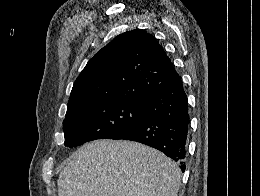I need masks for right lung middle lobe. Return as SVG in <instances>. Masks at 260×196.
I'll return each mask as SVG.
<instances>
[{
  "instance_id": "1",
  "label": "right lung middle lobe",
  "mask_w": 260,
  "mask_h": 196,
  "mask_svg": "<svg viewBox=\"0 0 260 196\" xmlns=\"http://www.w3.org/2000/svg\"><path fill=\"white\" fill-rule=\"evenodd\" d=\"M148 117L139 102L124 96H107L68 106L63 121L65 146L96 139H113Z\"/></svg>"
}]
</instances>
